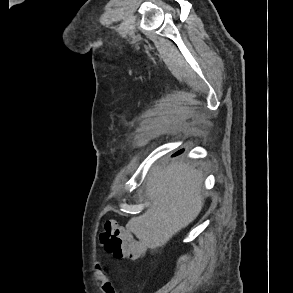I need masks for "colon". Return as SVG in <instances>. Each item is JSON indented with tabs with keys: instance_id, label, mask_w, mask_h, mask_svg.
<instances>
[{
	"instance_id": "colon-1",
	"label": "colon",
	"mask_w": 293,
	"mask_h": 293,
	"mask_svg": "<svg viewBox=\"0 0 293 293\" xmlns=\"http://www.w3.org/2000/svg\"><path fill=\"white\" fill-rule=\"evenodd\" d=\"M100 243L117 259H139L146 246L134 239L132 234L120 227L115 220L106 219L100 233Z\"/></svg>"
}]
</instances>
